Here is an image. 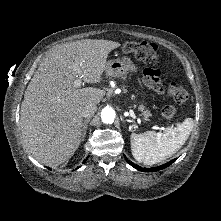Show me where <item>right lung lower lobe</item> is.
Instances as JSON below:
<instances>
[{"mask_svg":"<svg viewBox=\"0 0 221 221\" xmlns=\"http://www.w3.org/2000/svg\"><path fill=\"white\" fill-rule=\"evenodd\" d=\"M87 159H88V157L84 160V162L83 163H85L86 161H87Z\"/></svg>","mask_w":221,"mask_h":221,"instance_id":"1","label":"right lung lower lobe"}]
</instances>
